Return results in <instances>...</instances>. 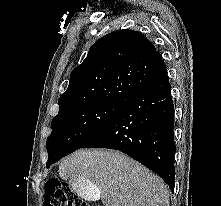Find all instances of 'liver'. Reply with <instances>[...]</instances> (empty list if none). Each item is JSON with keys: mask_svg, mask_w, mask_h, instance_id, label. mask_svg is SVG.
I'll return each instance as SVG.
<instances>
[{"mask_svg": "<svg viewBox=\"0 0 221 206\" xmlns=\"http://www.w3.org/2000/svg\"><path fill=\"white\" fill-rule=\"evenodd\" d=\"M62 179L97 189L104 206H169L163 180L127 155L114 150H79L59 165Z\"/></svg>", "mask_w": 221, "mask_h": 206, "instance_id": "1", "label": "liver"}]
</instances>
